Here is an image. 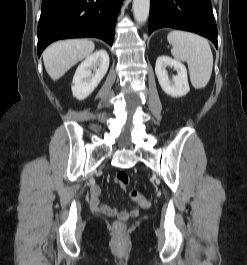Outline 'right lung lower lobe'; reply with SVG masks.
<instances>
[{
	"label": "right lung lower lobe",
	"mask_w": 247,
	"mask_h": 265,
	"mask_svg": "<svg viewBox=\"0 0 247 265\" xmlns=\"http://www.w3.org/2000/svg\"><path fill=\"white\" fill-rule=\"evenodd\" d=\"M123 0H43L38 24V56L53 41L96 37L113 44Z\"/></svg>",
	"instance_id": "1"
}]
</instances>
